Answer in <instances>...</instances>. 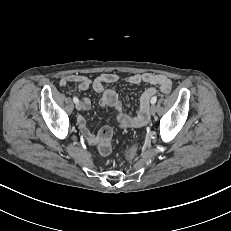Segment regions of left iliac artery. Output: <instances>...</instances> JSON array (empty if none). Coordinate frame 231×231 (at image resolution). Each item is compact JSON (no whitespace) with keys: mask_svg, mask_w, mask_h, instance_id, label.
Segmentation results:
<instances>
[{"mask_svg":"<svg viewBox=\"0 0 231 231\" xmlns=\"http://www.w3.org/2000/svg\"><path fill=\"white\" fill-rule=\"evenodd\" d=\"M156 101H157V97L155 96V97H153V98L151 99V104H155Z\"/></svg>","mask_w":231,"mask_h":231,"instance_id":"left-iliac-artery-1","label":"left iliac artery"}]
</instances>
